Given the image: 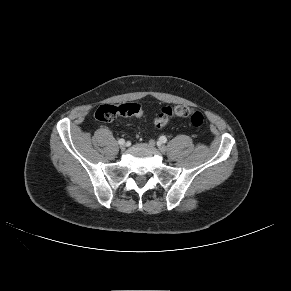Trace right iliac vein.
Instances as JSON below:
<instances>
[{
    "instance_id": "1",
    "label": "right iliac vein",
    "mask_w": 291,
    "mask_h": 291,
    "mask_svg": "<svg viewBox=\"0 0 291 291\" xmlns=\"http://www.w3.org/2000/svg\"><path fill=\"white\" fill-rule=\"evenodd\" d=\"M120 149H121V150H125V149H126V145H125V144H121V145H120Z\"/></svg>"
}]
</instances>
